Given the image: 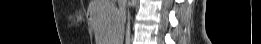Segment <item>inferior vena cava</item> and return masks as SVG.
Listing matches in <instances>:
<instances>
[{
	"label": "inferior vena cava",
	"mask_w": 261,
	"mask_h": 44,
	"mask_svg": "<svg viewBox=\"0 0 261 44\" xmlns=\"http://www.w3.org/2000/svg\"><path fill=\"white\" fill-rule=\"evenodd\" d=\"M130 37V28H129V23L127 25V31H126V40H129Z\"/></svg>",
	"instance_id": "1"
}]
</instances>
